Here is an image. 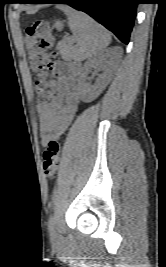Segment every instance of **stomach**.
Instances as JSON below:
<instances>
[{"mask_svg": "<svg viewBox=\"0 0 166 267\" xmlns=\"http://www.w3.org/2000/svg\"><path fill=\"white\" fill-rule=\"evenodd\" d=\"M55 27H56L58 30H61V28H62V24H61V22L57 21L56 24H55Z\"/></svg>", "mask_w": 166, "mask_h": 267, "instance_id": "obj_1", "label": "stomach"}]
</instances>
